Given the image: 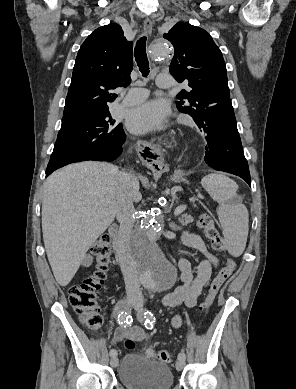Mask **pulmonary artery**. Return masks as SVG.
Segmentation results:
<instances>
[{"label": "pulmonary artery", "instance_id": "e3ab8cb5", "mask_svg": "<svg viewBox=\"0 0 296 389\" xmlns=\"http://www.w3.org/2000/svg\"><path fill=\"white\" fill-rule=\"evenodd\" d=\"M157 85L160 88H170L173 86L172 78L168 75L161 74L157 77ZM148 96L145 88H131L123 100L125 106H132L143 102Z\"/></svg>", "mask_w": 296, "mask_h": 389}]
</instances>
